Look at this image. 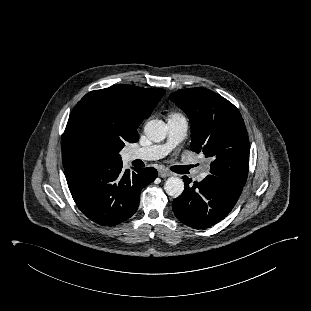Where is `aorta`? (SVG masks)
<instances>
[{
  "mask_svg": "<svg viewBox=\"0 0 311 311\" xmlns=\"http://www.w3.org/2000/svg\"><path fill=\"white\" fill-rule=\"evenodd\" d=\"M144 133L153 142H161L166 138L167 127L162 120L154 119L146 123ZM164 189L169 196L178 197L184 191V182L178 177L166 180Z\"/></svg>",
  "mask_w": 311,
  "mask_h": 311,
  "instance_id": "obj_1",
  "label": "aorta"
}]
</instances>
